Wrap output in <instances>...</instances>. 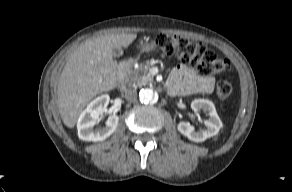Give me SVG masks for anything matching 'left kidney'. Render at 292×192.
<instances>
[{
  "label": "left kidney",
  "mask_w": 292,
  "mask_h": 192,
  "mask_svg": "<svg viewBox=\"0 0 292 192\" xmlns=\"http://www.w3.org/2000/svg\"><path fill=\"white\" fill-rule=\"evenodd\" d=\"M191 108L195 112L203 110L210 118L204 121L206 128L199 131H195V128L189 123L180 122L177 128L181 134L194 142H203L207 138L218 134L223 125L212 101L207 99H195L191 102Z\"/></svg>",
  "instance_id": "1"
}]
</instances>
